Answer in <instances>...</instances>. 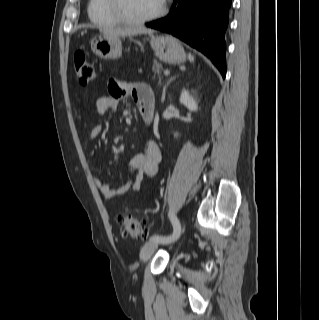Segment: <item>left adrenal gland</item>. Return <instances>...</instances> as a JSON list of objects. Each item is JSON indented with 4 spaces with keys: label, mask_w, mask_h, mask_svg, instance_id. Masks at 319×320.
I'll use <instances>...</instances> for the list:
<instances>
[{
    "label": "left adrenal gland",
    "mask_w": 319,
    "mask_h": 320,
    "mask_svg": "<svg viewBox=\"0 0 319 320\" xmlns=\"http://www.w3.org/2000/svg\"><path fill=\"white\" fill-rule=\"evenodd\" d=\"M173 79H175V76L172 77V78H170V79L167 81V83L164 85V87H163L162 99H161L162 102L165 100L166 88L168 87V85L170 84V82H171Z\"/></svg>",
    "instance_id": "left-adrenal-gland-1"
}]
</instances>
